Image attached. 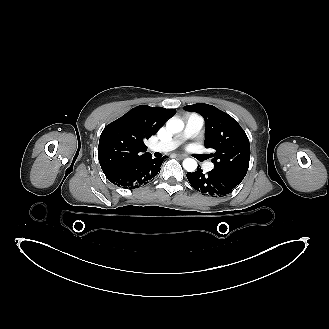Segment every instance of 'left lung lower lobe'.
Returning a JSON list of instances; mask_svg holds the SVG:
<instances>
[{
	"label": "left lung lower lobe",
	"mask_w": 329,
	"mask_h": 329,
	"mask_svg": "<svg viewBox=\"0 0 329 329\" xmlns=\"http://www.w3.org/2000/svg\"><path fill=\"white\" fill-rule=\"evenodd\" d=\"M191 186L200 193L212 197H222L229 194L241 182L217 171L206 174L200 168L187 173Z\"/></svg>",
	"instance_id": "obj_1"
}]
</instances>
